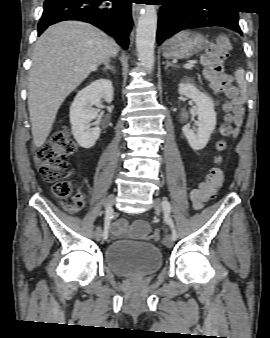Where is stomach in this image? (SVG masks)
Returning a JSON list of instances; mask_svg holds the SVG:
<instances>
[{
	"mask_svg": "<svg viewBox=\"0 0 270 338\" xmlns=\"http://www.w3.org/2000/svg\"><path fill=\"white\" fill-rule=\"evenodd\" d=\"M207 43L199 33L181 31L163 44L162 55L166 59H188L202 51Z\"/></svg>",
	"mask_w": 270,
	"mask_h": 338,
	"instance_id": "0dacf381",
	"label": "stomach"
}]
</instances>
